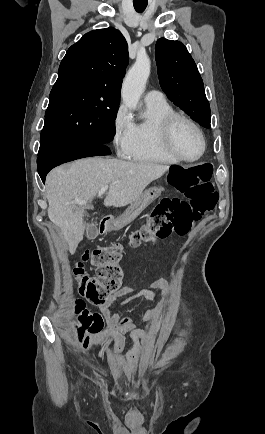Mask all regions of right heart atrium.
Instances as JSON below:
<instances>
[{"label": "right heart atrium", "mask_w": 265, "mask_h": 434, "mask_svg": "<svg viewBox=\"0 0 265 434\" xmlns=\"http://www.w3.org/2000/svg\"><path fill=\"white\" fill-rule=\"evenodd\" d=\"M119 115H115L113 117V122L115 123L112 128V133L110 138L114 142L115 145V153L119 159H126L128 154H132L133 147L132 142L133 139L130 135H132L135 124L131 122L130 108L129 106H119L118 108Z\"/></svg>", "instance_id": "d8ad5b80"}]
</instances>
